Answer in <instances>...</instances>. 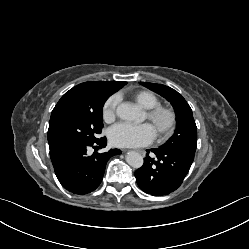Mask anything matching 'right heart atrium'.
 <instances>
[{"label":"right heart atrium","instance_id":"1","mask_svg":"<svg viewBox=\"0 0 249 249\" xmlns=\"http://www.w3.org/2000/svg\"><path fill=\"white\" fill-rule=\"evenodd\" d=\"M119 98L116 95L109 97L103 105L102 115L105 121H113L116 117V110Z\"/></svg>","mask_w":249,"mask_h":249}]
</instances>
